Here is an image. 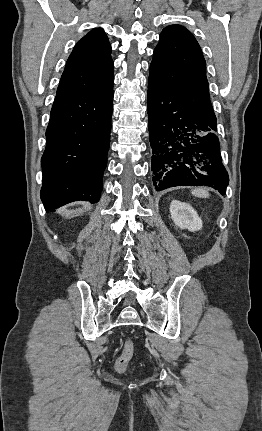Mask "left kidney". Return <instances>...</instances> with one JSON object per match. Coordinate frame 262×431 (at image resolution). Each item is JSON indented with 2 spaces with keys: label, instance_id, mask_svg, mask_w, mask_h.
<instances>
[{
  "label": "left kidney",
  "instance_id": "5707ae66",
  "mask_svg": "<svg viewBox=\"0 0 262 431\" xmlns=\"http://www.w3.org/2000/svg\"><path fill=\"white\" fill-rule=\"evenodd\" d=\"M170 213L177 227L188 229L191 232L202 229V220L189 204L173 200L170 205Z\"/></svg>",
  "mask_w": 262,
  "mask_h": 431
}]
</instances>
